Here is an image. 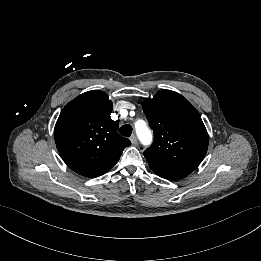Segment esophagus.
<instances>
[{"label":"esophagus","instance_id":"1","mask_svg":"<svg viewBox=\"0 0 261 261\" xmlns=\"http://www.w3.org/2000/svg\"><path fill=\"white\" fill-rule=\"evenodd\" d=\"M130 141H131L132 144H137L138 140H137L136 135H132V136L130 137Z\"/></svg>","mask_w":261,"mask_h":261}]
</instances>
